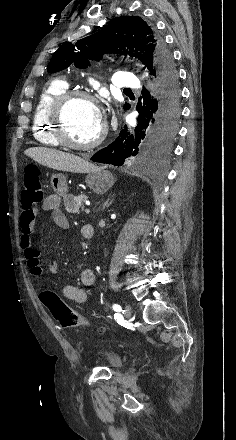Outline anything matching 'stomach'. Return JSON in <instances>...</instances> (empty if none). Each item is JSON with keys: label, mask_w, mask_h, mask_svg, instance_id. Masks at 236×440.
<instances>
[{"label": "stomach", "mask_w": 236, "mask_h": 440, "mask_svg": "<svg viewBox=\"0 0 236 440\" xmlns=\"http://www.w3.org/2000/svg\"><path fill=\"white\" fill-rule=\"evenodd\" d=\"M85 183L95 193L104 194L113 186L114 178L109 171L101 167H96L94 170L88 172ZM51 185L57 195H67V181L65 175L62 173H55L51 176Z\"/></svg>", "instance_id": "obj_1"}]
</instances>
